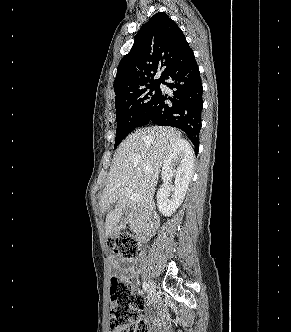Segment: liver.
Returning a JSON list of instances; mask_svg holds the SVG:
<instances>
[{
    "label": "liver",
    "mask_w": 291,
    "mask_h": 332,
    "mask_svg": "<svg viewBox=\"0 0 291 332\" xmlns=\"http://www.w3.org/2000/svg\"><path fill=\"white\" fill-rule=\"evenodd\" d=\"M179 141L181 133L173 128L149 127L136 130L120 144L101 195L103 214L116 203L115 209L106 215L107 237L120 221L122 212L132 203L126 194L127 189L140 194L141 212L147 214L154 210L153 196L160 169L172 145Z\"/></svg>",
    "instance_id": "liver-1"
}]
</instances>
